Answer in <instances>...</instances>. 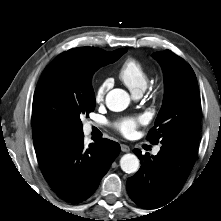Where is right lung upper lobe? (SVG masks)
Segmentation results:
<instances>
[{"label": "right lung upper lobe", "instance_id": "right-lung-upper-lobe-1", "mask_svg": "<svg viewBox=\"0 0 221 221\" xmlns=\"http://www.w3.org/2000/svg\"><path fill=\"white\" fill-rule=\"evenodd\" d=\"M123 49L124 48L117 49V50H115V52L122 51ZM99 50H100V48L81 47V48H76V49L69 50L67 52L76 54L79 57H84V56H88V55H92L94 53H97ZM32 126H33V134L32 135H33V141L34 142H38V141H41L45 138L55 136V135L47 133V132H39L38 131V123L35 119H32Z\"/></svg>", "mask_w": 221, "mask_h": 221}]
</instances>
